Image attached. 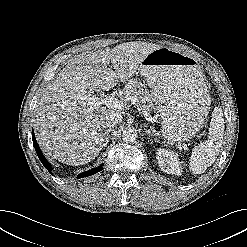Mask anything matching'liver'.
Here are the masks:
<instances>
[{
  "label": "liver",
  "mask_w": 247,
  "mask_h": 247,
  "mask_svg": "<svg viewBox=\"0 0 247 247\" xmlns=\"http://www.w3.org/2000/svg\"><path fill=\"white\" fill-rule=\"evenodd\" d=\"M158 48L127 42L72 59L46 86L35 109L34 129L43 150L68 165H84L97 157L104 147L105 117L117 110L95 106L92 94L109 91L118 82L126 84Z\"/></svg>",
  "instance_id": "liver-1"
}]
</instances>
